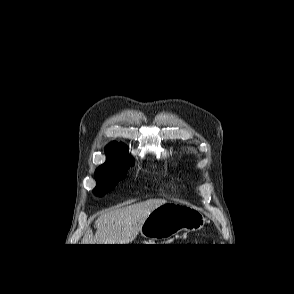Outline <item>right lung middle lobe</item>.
<instances>
[{"label": "right lung middle lobe", "mask_w": 294, "mask_h": 294, "mask_svg": "<svg viewBox=\"0 0 294 294\" xmlns=\"http://www.w3.org/2000/svg\"><path fill=\"white\" fill-rule=\"evenodd\" d=\"M133 166L132 161H106L95 171L97 186L95 194L102 196L115 188L116 184L124 179L129 167Z\"/></svg>", "instance_id": "dd1d6c3e"}]
</instances>
